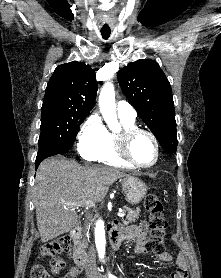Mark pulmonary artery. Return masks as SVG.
<instances>
[{
	"label": "pulmonary artery",
	"mask_w": 221,
	"mask_h": 278,
	"mask_svg": "<svg viewBox=\"0 0 221 278\" xmlns=\"http://www.w3.org/2000/svg\"><path fill=\"white\" fill-rule=\"evenodd\" d=\"M117 114L119 118L126 119L129 121H134L136 118L135 109L126 101H119L117 103Z\"/></svg>",
	"instance_id": "pulmonary-artery-1"
}]
</instances>
